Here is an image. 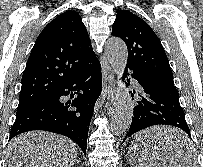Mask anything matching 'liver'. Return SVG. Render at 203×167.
I'll return each mask as SVG.
<instances>
[{"label":"liver","mask_w":203,"mask_h":167,"mask_svg":"<svg viewBox=\"0 0 203 167\" xmlns=\"http://www.w3.org/2000/svg\"><path fill=\"white\" fill-rule=\"evenodd\" d=\"M186 137L176 128L156 126L140 132L134 142L155 153L163 165L179 167L189 160V147L185 151L178 146L185 143ZM76 159L73 141L45 131H30L13 138L5 157L6 167H74Z\"/></svg>","instance_id":"obj_1"}]
</instances>
